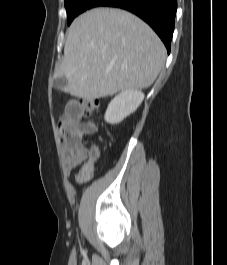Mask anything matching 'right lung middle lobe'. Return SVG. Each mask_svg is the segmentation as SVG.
Wrapping results in <instances>:
<instances>
[{
	"mask_svg": "<svg viewBox=\"0 0 227 265\" xmlns=\"http://www.w3.org/2000/svg\"><path fill=\"white\" fill-rule=\"evenodd\" d=\"M94 0H64L65 8L67 10V23L68 25L72 20L89 9Z\"/></svg>",
	"mask_w": 227,
	"mask_h": 265,
	"instance_id": "right-lung-middle-lobe-1",
	"label": "right lung middle lobe"
}]
</instances>
